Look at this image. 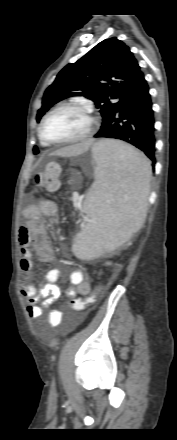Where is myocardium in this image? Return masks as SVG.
Segmentation results:
<instances>
[{
    "instance_id": "f54148a6",
    "label": "myocardium",
    "mask_w": 177,
    "mask_h": 440,
    "mask_svg": "<svg viewBox=\"0 0 177 440\" xmlns=\"http://www.w3.org/2000/svg\"><path fill=\"white\" fill-rule=\"evenodd\" d=\"M65 109H74V110H78V111L84 113L89 120V126H88L87 130L81 136H79L77 138H73V139H67V140H63V141H51V140L46 139L44 136V133H43L46 122L53 114H55L58 111L65 110ZM96 126H97V121H96L95 117L92 115V113L88 107L81 105V104L64 103V104L58 105L57 107H55L54 109H52L50 112H48L45 115V117L43 118V120L41 121V124L39 126L38 135H39V138L42 141V143H44L46 145L59 146V145L75 144V143H79V142H82V141L88 139L93 134Z\"/></svg>"
}]
</instances>
